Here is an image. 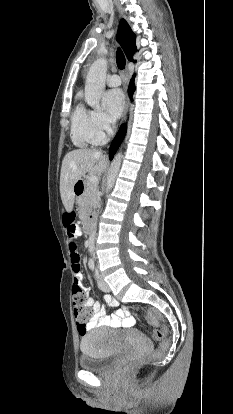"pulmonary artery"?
<instances>
[{
	"instance_id": "pulmonary-artery-1",
	"label": "pulmonary artery",
	"mask_w": 233,
	"mask_h": 414,
	"mask_svg": "<svg viewBox=\"0 0 233 414\" xmlns=\"http://www.w3.org/2000/svg\"><path fill=\"white\" fill-rule=\"evenodd\" d=\"M121 82V78L117 74H113L107 79V85L110 87L119 86Z\"/></svg>"
}]
</instances>
